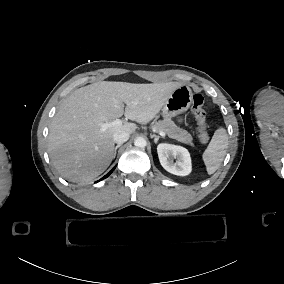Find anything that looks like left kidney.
I'll return each instance as SVG.
<instances>
[{
    "label": "left kidney",
    "mask_w": 284,
    "mask_h": 284,
    "mask_svg": "<svg viewBox=\"0 0 284 284\" xmlns=\"http://www.w3.org/2000/svg\"><path fill=\"white\" fill-rule=\"evenodd\" d=\"M157 152L160 163L166 171L178 176H186L191 173V157L186 148L161 143L157 146ZM174 159H177L175 163Z\"/></svg>",
    "instance_id": "5707ae66"
}]
</instances>
